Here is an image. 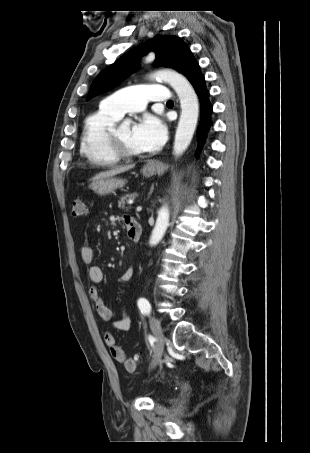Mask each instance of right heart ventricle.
Returning a JSON list of instances; mask_svg holds the SVG:
<instances>
[{
    "label": "right heart ventricle",
    "instance_id": "e07e8e85",
    "mask_svg": "<svg viewBox=\"0 0 310 453\" xmlns=\"http://www.w3.org/2000/svg\"><path fill=\"white\" fill-rule=\"evenodd\" d=\"M120 117L101 105L86 117L80 140V153L92 166L110 167L120 161L107 144L108 133Z\"/></svg>",
    "mask_w": 310,
    "mask_h": 453
}]
</instances>
